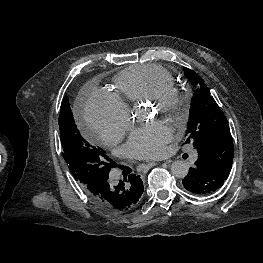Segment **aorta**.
Wrapping results in <instances>:
<instances>
[{
	"mask_svg": "<svg viewBox=\"0 0 263 263\" xmlns=\"http://www.w3.org/2000/svg\"><path fill=\"white\" fill-rule=\"evenodd\" d=\"M189 171V165L184 160L174 161L171 165V173L176 178H184Z\"/></svg>",
	"mask_w": 263,
	"mask_h": 263,
	"instance_id": "762f6f07",
	"label": "aorta"
}]
</instances>
